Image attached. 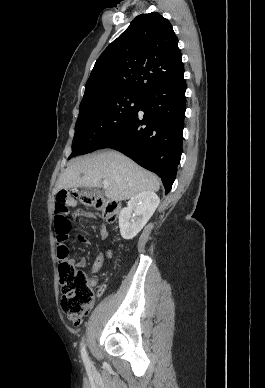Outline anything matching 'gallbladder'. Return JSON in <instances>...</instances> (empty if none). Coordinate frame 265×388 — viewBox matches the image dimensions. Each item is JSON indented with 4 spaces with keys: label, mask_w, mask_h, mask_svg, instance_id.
Wrapping results in <instances>:
<instances>
[{
    "label": "gallbladder",
    "mask_w": 265,
    "mask_h": 388,
    "mask_svg": "<svg viewBox=\"0 0 265 388\" xmlns=\"http://www.w3.org/2000/svg\"><path fill=\"white\" fill-rule=\"evenodd\" d=\"M80 194L91 198V196H94V194H98V190H94V188H80Z\"/></svg>",
    "instance_id": "bac80fb5"
}]
</instances>
